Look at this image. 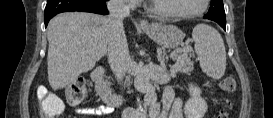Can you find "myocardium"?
I'll use <instances>...</instances> for the list:
<instances>
[{
    "label": "myocardium",
    "instance_id": "obj_1",
    "mask_svg": "<svg viewBox=\"0 0 273 118\" xmlns=\"http://www.w3.org/2000/svg\"><path fill=\"white\" fill-rule=\"evenodd\" d=\"M209 0H202V6L193 12L189 13H175V12H168L162 11L156 8L155 1H148L147 9L154 14L155 16L162 17V18H169V19H185V18H192L203 14L208 8Z\"/></svg>",
    "mask_w": 273,
    "mask_h": 118
}]
</instances>
